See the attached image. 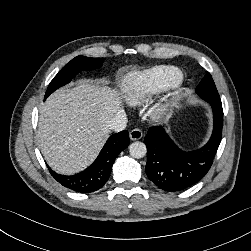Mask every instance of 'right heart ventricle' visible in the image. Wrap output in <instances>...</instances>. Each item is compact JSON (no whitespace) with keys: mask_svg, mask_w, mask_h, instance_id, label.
Masks as SVG:
<instances>
[{"mask_svg":"<svg viewBox=\"0 0 251 251\" xmlns=\"http://www.w3.org/2000/svg\"><path fill=\"white\" fill-rule=\"evenodd\" d=\"M181 78V70L169 65L131 72L122 80L121 95L129 105L138 106L148 102L156 94L174 87Z\"/></svg>","mask_w":251,"mask_h":251,"instance_id":"1","label":"right heart ventricle"}]
</instances>
